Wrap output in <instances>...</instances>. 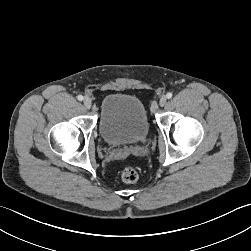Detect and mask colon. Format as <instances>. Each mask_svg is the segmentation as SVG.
Masks as SVG:
<instances>
[{"label":"colon","instance_id":"5ec220e1","mask_svg":"<svg viewBox=\"0 0 251 251\" xmlns=\"http://www.w3.org/2000/svg\"><path fill=\"white\" fill-rule=\"evenodd\" d=\"M122 180L126 183H134L138 180L139 174L134 167L126 166L121 173Z\"/></svg>","mask_w":251,"mask_h":251}]
</instances>
